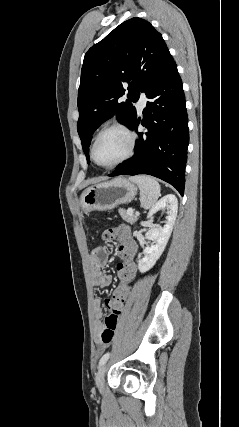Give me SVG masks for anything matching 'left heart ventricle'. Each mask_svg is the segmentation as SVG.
Returning a JSON list of instances; mask_svg holds the SVG:
<instances>
[{
	"mask_svg": "<svg viewBox=\"0 0 239 427\" xmlns=\"http://www.w3.org/2000/svg\"><path fill=\"white\" fill-rule=\"evenodd\" d=\"M129 140L120 130L105 132L95 147V158L103 165H110L120 160L127 152Z\"/></svg>",
	"mask_w": 239,
	"mask_h": 427,
	"instance_id": "obj_1",
	"label": "left heart ventricle"
}]
</instances>
